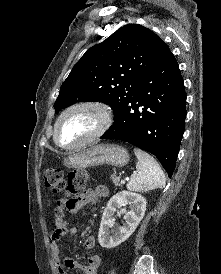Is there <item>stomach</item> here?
Instances as JSON below:
<instances>
[{
    "mask_svg": "<svg viewBox=\"0 0 221 274\" xmlns=\"http://www.w3.org/2000/svg\"><path fill=\"white\" fill-rule=\"evenodd\" d=\"M129 162L127 150L114 144H96L71 153L64 159V165L71 168H86L108 164L123 167Z\"/></svg>",
    "mask_w": 221,
    "mask_h": 274,
    "instance_id": "0dacf381",
    "label": "stomach"
}]
</instances>
